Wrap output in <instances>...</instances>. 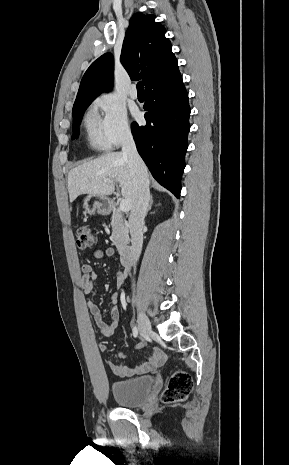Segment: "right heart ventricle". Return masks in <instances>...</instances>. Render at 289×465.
Masks as SVG:
<instances>
[{
    "label": "right heart ventricle",
    "mask_w": 289,
    "mask_h": 465,
    "mask_svg": "<svg viewBox=\"0 0 289 465\" xmlns=\"http://www.w3.org/2000/svg\"><path fill=\"white\" fill-rule=\"evenodd\" d=\"M84 129L89 146L96 151L109 149L103 130L102 119L95 107L91 108L84 117Z\"/></svg>",
    "instance_id": "right-heart-ventricle-1"
}]
</instances>
